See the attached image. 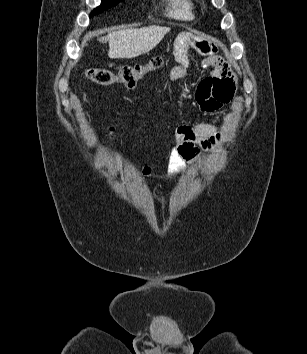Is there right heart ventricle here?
I'll return each mask as SVG.
<instances>
[{
    "label": "right heart ventricle",
    "mask_w": 307,
    "mask_h": 354,
    "mask_svg": "<svg viewBox=\"0 0 307 354\" xmlns=\"http://www.w3.org/2000/svg\"><path fill=\"white\" fill-rule=\"evenodd\" d=\"M167 15L173 19L190 21L195 16V5L192 0H165Z\"/></svg>",
    "instance_id": "right-heart-ventricle-1"
}]
</instances>
